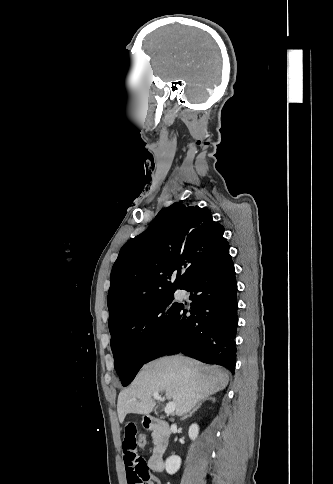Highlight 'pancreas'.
<instances>
[{"label":"pancreas","mask_w":333,"mask_h":484,"mask_svg":"<svg viewBox=\"0 0 333 484\" xmlns=\"http://www.w3.org/2000/svg\"><path fill=\"white\" fill-rule=\"evenodd\" d=\"M152 438H153L154 444H157L158 442H160L162 440V436H161L160 432H158V431H154L152 433Z\"/></svg>","instance_id":"obj_1"}]
</instances>
